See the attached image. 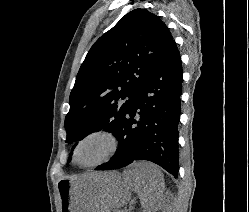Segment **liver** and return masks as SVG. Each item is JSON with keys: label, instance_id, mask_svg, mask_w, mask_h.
<instances>
[{"label": "liver", "instance_id": "liver-1", "mask_svg": "<svg viewBox=\"0 0 249 212\" xmlns=\"http://www.w3.org/2000/svg\"><path fill=\"white\" fill-rule=\"evenodd\" d=\"M156 170L158 168L155 164L134 162L125 168L123 174H113V172L101 174L99 186L106 200V212H111V208H121L128 204L131 192L138 194L140 204L146 212L155 210L159 202L157 184H160L159 194L164 190L163 176H160V170V174H157Z\"/></svg>", "mask_w": 249, "mask_h": 212}]
</instances>
